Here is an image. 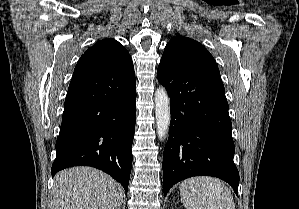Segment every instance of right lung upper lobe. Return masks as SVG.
Returning <instances> with one entry per match:
<instances>
[{"label": "right lung upper lobe", "mask_w": 299, "mask_h": 209, "mask_svg": "<svg viewBox=\"0 0 299 209\" xmlns=\"http://www.w3.org/2000/svg\"><path fill=\"white\" fill-rule=\"evenodd\" d=\"M97 72H115L125 79L135 75L128 51L111 38L99 41L89 48L79 59L73 76Z\"/></svg>", "instance_id": "obj_1"}]
</instances>
